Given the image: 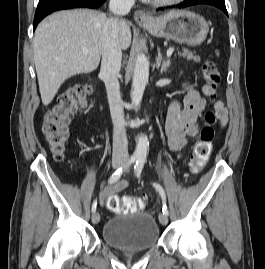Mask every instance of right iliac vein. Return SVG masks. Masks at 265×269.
I'll use <instances>...</instances> for the list:
<instances>
[{
  "mask_svg": "<svg viewBox=\"0 0 265 269\" xmlns=\"http://www.w3.org/2000/svg\"><path fill=\"white\" fill-rule=\"evenodd\" d=\"M123 162L121 160L115 159L112 161V167L114 169L119 168L120 166H122ZM100 221V215L98 212H94L92 215V223L93 224H98Z\"/></svg>",
  "mask_w": 265,
  "mask_h": 269,
  "instance_id": "63e3f726",
  "label": "right iliac vein"
}]
</instances>
